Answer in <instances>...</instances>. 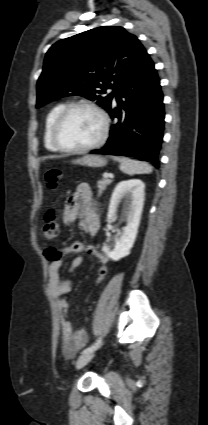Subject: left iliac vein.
Listing matches in <instances>:
<instances>
[{
    "label": "left iliac vein",
    "instance_id": "1",
    "mask_svg": "<svg viewBox=\"0 0 208 425\" xmlns=\"http://www.w3.org/2000/svg\"><path fill=\"white\" fill-rule=\"evenodd\" d=\"M93 356H94V351L82 354L81 356H79V358L76 361V367L78 369L82 368L93 358Z\"/></svg>",
    "mask_w": 208,
    "mask_h": 425
}]
</instances>
